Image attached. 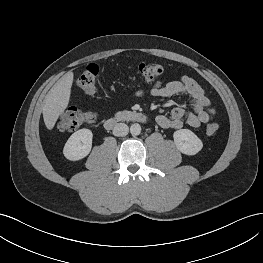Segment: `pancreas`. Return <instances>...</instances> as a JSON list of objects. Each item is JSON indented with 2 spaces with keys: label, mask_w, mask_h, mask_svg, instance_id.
I'll use <instances>...</instances> for the list:
<instances>
[{
  "label": "pancreas",
  "mask_w": 263,
  "mask_h": 263,
  "mask_svg": "<svg viewBox=\"0 0 263 263\" xmlns=\"http://www.w3.org/2000/svg\"><path fill=\"white\" fill-rule=\"evenodd\" d=\"M130 113H131L130 111H119V112H117V113L115 114V117H116L117 119H121V118H123L124 116L129 115Z\"/></svg>",
  "instance_id": "obj_1"
}]
</instances>
